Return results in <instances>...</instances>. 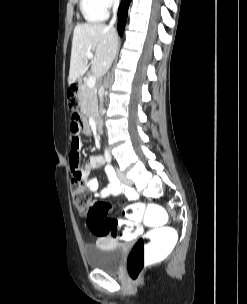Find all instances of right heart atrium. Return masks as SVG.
I'll use <instances>...</instances> for the list:
<instances>
[{
  "label": "right heart atrium",
  "instance_id": "obj_1",
  "mask_svg": "<svg viewBox=\"0 0 247 304\" xmlns=\"http://www.w3.org/2000/svg\"><path fill=\"white\" fill-rule=\"evenodd\" d=\"M99 4L106 11L118 4V0H98Z\"/></svg>",
  "mask_w": 247,
  "mask_h": 304
}]
</instances>
